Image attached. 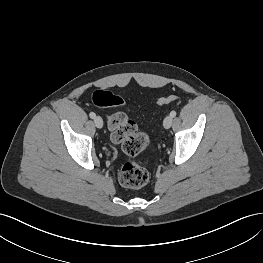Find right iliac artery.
<instances>
[{"label":"right iliac artery","mask_w":263,"mask_h":263,"mask_svg":"<svg viewBox=\"0 0 263 263\" xmlns=\"http://www.w3.org/2000/svg\"><path fill=\"white\" fill-rule=\"evenodd\" d=\"M89 116L90 118L94 119L96 117V114L94 112H90Z\"/></svg>","instance_id":"right-iliac-artery-1"}]
</instances>
